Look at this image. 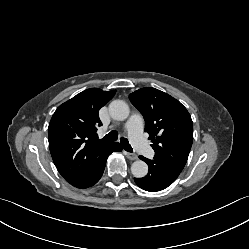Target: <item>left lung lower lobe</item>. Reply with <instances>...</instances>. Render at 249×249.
Returning a JSON list of instances; mask_svg holds the SVG:
<instances>
[{
  "label": "left lung lower lobe",
  "mask_w": 249,
  "mask_h": 249,
  "mask_svg": "<svg viewBox=\"0 0 249 249\" xmlns=\"http://www.w3.org/2000/svg\"><path fill=\"white\" fill-rule=\"evenodd\" d=\"M139 158L149 166V172L145 177L134 179L143 190L150 192L163 190L171 185L180 174V171L161 165L156 160H150L143 156H139Z\"/></svg>",
  "instance_id": "0a47b994"
}]
</instances>
